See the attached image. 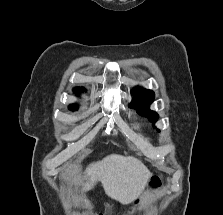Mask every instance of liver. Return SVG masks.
Wrapping results in <instances>:
<instances>
[{
  "label": "liver",
  "mask_w": 223,
  "mask_h": 215,
  "mask_svg": "<svg viewBox=\"0 0 223 215\" xmlns=\"http://www.w3.org/2000/svg\"><path fill=\"white\" fill-rule=\"evenodd\" d=\"M84 173L85 191L96 185L97 181H101L105 193L120 203H131L137 199L143 193L151 175V171L140 159L118 153H111L101 161L90 163Z\"/></svg>",
  "instance_id": "obj_1"
}]
</instances>
